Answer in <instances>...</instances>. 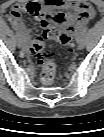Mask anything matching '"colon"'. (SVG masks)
<instances>
[{
	"mask_svg": "<svg viewBox=\"0 0 104 137\" xmlns=\"http://www.w3.org/2000/svg\"><path fill=\"white\" fill-rule=\"evenodd\" d=\"M49 39L56 40L70 49L74 46L67 28L50 20L45 21L42 36L34 39L30 47V53L40 66V77L45 84L52 83L56 77V64L52 55L45 49V41Z\"/></svg>",
	"mask_w": 104,
	"mask_h": 137,
	"instance_id": "colon-1",
	"label": "colon"
}]
</instances>
